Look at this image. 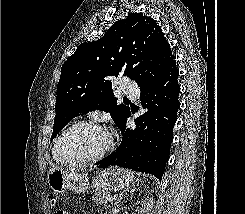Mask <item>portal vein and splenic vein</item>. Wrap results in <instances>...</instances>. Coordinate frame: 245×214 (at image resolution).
I'll return each mask as SVG.
<instances>
[{"label":"portal vein and splenic vein","mask_w":245,"mask_h":214,"mask_svg":"<svg viewBox=\"0 0 245 214\" xmlns=\"http://www.w3.org/2000/svg\"><path fill=\"white\" fill-rule=\"evenodd\" d=\"M108 201L109 202H113V198L112 197H108Z\"/></svg>","instance_id":"obj_1"}]
</instances>
